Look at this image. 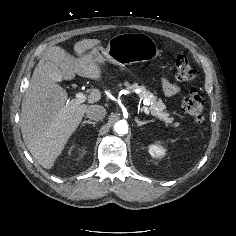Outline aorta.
I'll return each instance as SVG.
<instances>
[{
    "instance_id": "obj_1",
    "label": "aorta",
    "mask_w": 236,
    "mask_h": 236,
    "mask_svg": "<svg viewBox=\"0 0 236 236\" xmlns=\"http://www.w3.org/2000/svg\"><path fill=\"white\" fill-rule=\"evenodd\" d=\"M114 130L120 135H124L128 132V124L126 121L120 120L114 125Z\"/></svg>"
}]
</instances>
